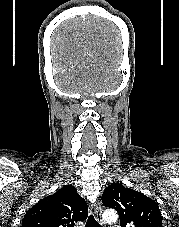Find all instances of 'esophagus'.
I'll return each instance as SVG.
<instances>
[{"label":"esophagus","mask_w":179,"mask_h":227,"mask_svg":"<svg viewBox=\"0 0 179 227\" xmlns=\"http://www.w3.org/2000/svg\"><path fill=\"white\" fill-rule=\"evenodd\" d=\"M94 213H95L96 220L100 224H102L103 223V220H102V208H101V205H100L99 202L95 205Z\"/></svg>","instance_id":"esophagus-1"}]
</instances>
